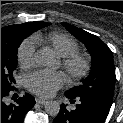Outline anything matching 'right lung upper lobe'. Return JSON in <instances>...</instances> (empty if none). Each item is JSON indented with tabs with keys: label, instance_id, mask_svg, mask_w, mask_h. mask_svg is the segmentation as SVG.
<instances>
[{
	"label": "right lung upper lobe",
	"instance_id": "cb5924a9",
	"mask_svg": "<svg viewBox=\"0 0 123 123\" xmlns=\"http://www.w3.org/2000/svg\"><path fill=\"white\" fill-rule=\"evenodd\" d=\"M17 26H19V25H10V26L1 28V36L8 34L10 31H12Z\"/></svg>",
	"mask_w": 123,
	"mask_h": 123
}]
</instances>
